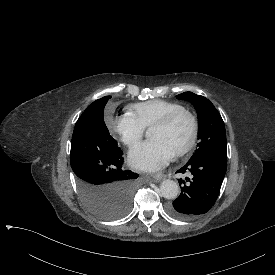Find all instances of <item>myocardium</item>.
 <instances>
[{
    "label": "myocardium",
    "mask_w": 275,
    "mask_h": 275,
    "mask_svg": "<svg viewBox=\"0 0 275 275\" xmlns=\"http://www.w3.org/2000/svg\"><path fill=\"white\" fill-rule=\"evenodd\" d=\"M181 117H187L190 123V131L186 142L176 149L174 154L176 156H182L188 153L195 145L197 136H198V121L193 113L190 111L183 109L179 111H175L165 116L163 119L159 120L154 124V127L160 128H171L175 122Z\"/></svg>",
    "instance_id": "obj_1"
}]
</instances>
